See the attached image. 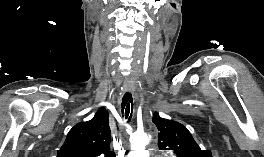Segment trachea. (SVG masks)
<instances>
[{
    "label": "trachea",
    "mask_w": 264,
    "mask_h": 157,
    "mask_svg": "<svg viewBox=\"0 0 264 157\" xmlns=\"http://www.w3.org/2000/svg\"><path fill=\"white\" fill-rule=\"evenodd\" d=\"M132 95L131 93H125L122 98V113H124L125 118L128 119V122L132 118V110H133V103H132Z\"/></svg>",
    "instance_id": "obj_1"
}]
</instances>
